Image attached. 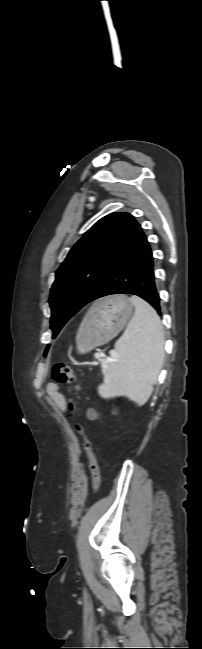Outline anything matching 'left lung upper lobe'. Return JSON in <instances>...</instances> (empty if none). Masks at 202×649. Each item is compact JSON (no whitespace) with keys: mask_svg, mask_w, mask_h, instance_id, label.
Here are the masks:
<instances>
[{"mask_svg":"<svg viewBox=\"0 0 202 649\" xmlns=\"http://www.w3.org/2000/svg\"><path fill=\"white\" fill-rule=\"evenodd\" d=\"M140 231V225L129 213H111L96 222L74 245L56 271L51 288L53 338L75 313L95 298Z\"/></svg>","mask_w":202,"mask_h":649,"instance_id":"obj_1","label":"left lung upper lobe"}]
</instances>
